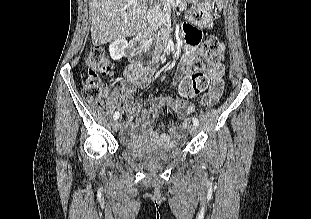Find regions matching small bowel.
I'll return each instance as SVG.
<instances>
[{
  "mask_svg": "<svg viewBox=\"0 0 311 219\" xmlns=\"http://www.w3.org/2000/svg\"><path fill=\"white\" fill-rule=\"evenodd\" d=\"M183 45L185 52L180 60V67L173 77V85L180 87L186 78L190 77V67L195 60L197 43L191 41L186 29L184 28ZM125 77L127 82L121 87V104L123 109L121 133L123 140L141 138L145 142H154L159 144H170L184 140L186 127L188 125V115L194 110V106L181 98H160L150 97L149 106L142 108L133 98V93L137 89L146 88L151 79L152 71L146 70L139 62L131 61V65L126 68ZM211 86L203 93L202 101L210 106L220 97L223 90V70H211ZM183 95V94H181ZM164 109L170 110L176 116V121L168 125L169 132H157L152 124L158 113ZM133 118H136L134 120ZM120 127V126H119Z\"/></svg>",
  "mask_w": 311,
  "mask_h": 219,
  "instance_id": "c3829d8e",
  "label": "small bowel"
}]
</instances>
